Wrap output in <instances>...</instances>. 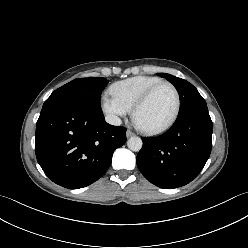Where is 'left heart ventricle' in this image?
Segmentation results:
<instances>
[{
  "label": "left heart ventricle",
  "instance_id": "b2bd125f",
  "mask_svg": "<svg viewBox=\"0 0 248 248\" xmlns=\"http://www.w3.org/2000/svg\"><path fill=\"white\" fill-rule=\"evenodd\" d=\"M175 95L169 86L158 88L139 110L137 121L144 127H158L166 123L175 109Z\"/></svg>",
  "mask_w": 248,
  "mask_h": 248
}]
</instances>
